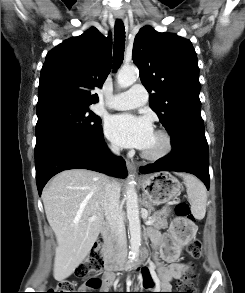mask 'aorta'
I'll list each match as a JSON object with an SVG mask.
<instances>
[{
	"label": "aorta",
	"mask_w": 245,
	"mask_h": 293,
	"mask_svg": "<svg viewBox=\"0 0 245 293\" xmlns=\"http://www.w3.org/2000/svg\"><path fill=\"white\" fill-rule=\"evenodd\" d=\"M138 78V70L136 67L122 68L117 75V83L121 88L131 86ZM126 212L129 221L130 231V253L129 260L134 262L139 256V248L141 245V222L139 219L138 196L133 182H129L126 190Z\"/></svg>",
	"instance_id": "1"
}]
</instances>
